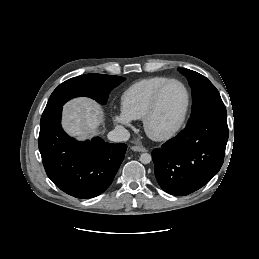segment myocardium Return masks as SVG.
<instances>
[{"instance_id": "f54148a6", "label": "myocardium", "mask_w": 259, "mask_h": 259, "mask_svg": "<svg viewBox=\"0 0 259 259\" xmlns=\"http://www.w3.org/2000/svg\"><path fill=\"white\" fill-rule=\"evenodd\" d=\"M171 83H178L183 87L185 94H186L185 108H184V111L182 113L180 120L177 122V124L175 126H173L171 129H169L168 131H165L163 133H155L151 129V120L158 109L160 97H161L163 90ZM190 106H191V93H190L188 86L180 79H176V78L167 79L155 90L151 103H150L145 115L143 116V128H144L145 133L151 139L156 140V141H164V140L170 139L171 137L176 135L180 131V129L183 127V125L185 124L186 119L189 114Z\"/></svg>"}]
</instances>
